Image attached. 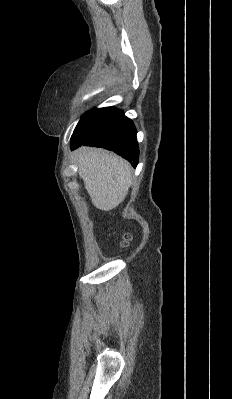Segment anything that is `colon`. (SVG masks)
Wrapping results in <instances>:
<instances>
[{"label":"colon","mask_w":232,"mask_h":399,"mask_svg":"<svg viewBox=\"0 0 232 399\" xmlns=\"http://www.w3.org/2000/svg\"><path fill=\"white\" fill-rule=\"evenodd\" d=\"M116 241H120V249H125L126 245H131V234H126V238H121V234H116Z\"/></svg>","instance_id":"1"}]
</instances>
